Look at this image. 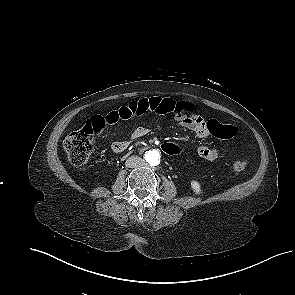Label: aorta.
I'll return each instance as SVG.
<instances>
[{
	"label": "aorta",
	"mask_w": 295,
	"mask_h": 295,
	"mask_svg": "<svg viewBox=\"0 0 295 295\" xmlns=\"http://www.w3.org/2000/svg\"><path fill=\"white\" fill-rule=\"evenodd\" d=\"M145 160L152 166L160 163V153L158 150H149L145 153Z\"/></svg>",
	"instance_id": "obj_1"
}]
</instances>
